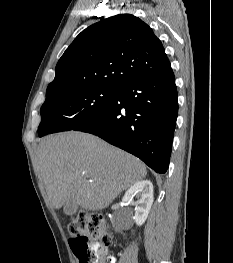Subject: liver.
I'll use <instances>...</instances> for the list:
<instances>
[{
	"label": "liver",
	"mask_w": 233,
	"mask_h": 263,
	"mask_svg": "<svg viewBox=\"0 0 233 263\" xmlns=\"http://www.w3.org/2000/svg\"><path fill=\"white\" fill-rule=\"evenodd\" d=\"M37 156L48 200L55 209L73 197L85 210H102L147 174L136 157L82 132L44 138Z\"/></svg>",
	"instance_id": "liver-1"
}]
</instances>
